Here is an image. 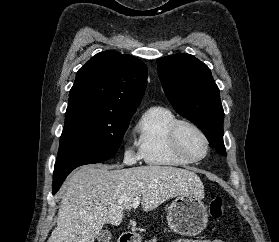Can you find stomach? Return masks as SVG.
Instances as JSON below:
<instances>
[{"instance_id":"obj_1","label":"stomach","mask_w":279,"mask_h":242,"mask_svg":"<svg viewBox=\"0 0 279 242\" xmlns=\"http://www.w3.org/2000/svg\"><path fill=\"white\" fill-rule=\"evenodd\" d=\"M167 222L169 228L182 236L200 234L207 226V207L199 197L179 195L168 207Z\"/></svg>"}]
</instances>
